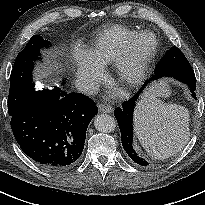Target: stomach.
<instances>
[{
	"label": "stomach",
	"instance_id": "stomach-1",
	"mask_svg": "<svg viewBox=\"0 0 205 205\" xmlns=\"http://www.w3.org/2000/svg\"><path fill=\"white\" fill-rule=\"evenodd\" d=\"M166 92L165 85H160L158 87H154L153 89H149L142 97L139 103L144 104H152L157 97L164 96Z\"/></svg>",
	"mask_w": 205,
	"mask_h": 205
}]
</instances>
